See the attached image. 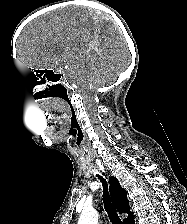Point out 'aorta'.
I'll list each match as a JSON object with an SVG mask.
<instances>
[{"label": "aorta", "instance_id": "762f6f07", "mask_svg": "<svg viewBox=\"0 0 187 224\" xmlns=\"http://www.w3.org/2000/svg\"><path fill=\"white\" fill-rule=\"evenodd\" d=\"M78 224H98V213L93 209H85L82 211Z\"/></svg>", "mask_w": 187, "mask_h": 224}]
</instances>
